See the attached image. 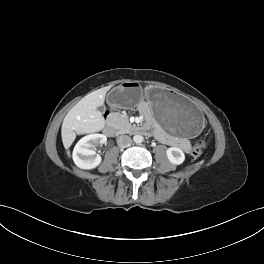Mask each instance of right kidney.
<instances>
[{
  "instance_id": "ca27d5eb",
  "label": "right kidney",
  "mask_w": 264,
  "mask_h": 264,
  "mask_svg": "<svg viewBox=\"0 0 264 264\" xmlns=\"http://www.w3.org/2000/svg\"><path fill=\"white\" fill-rule=\"evenodd\" d=\"M106 141L107 137L103 134H90L81 138L74 147L72 155L76 166L86 170L96 168L102 159L99 154H96L93 148Z\"/></svg>"
}]
</instances>
